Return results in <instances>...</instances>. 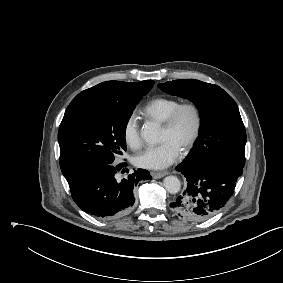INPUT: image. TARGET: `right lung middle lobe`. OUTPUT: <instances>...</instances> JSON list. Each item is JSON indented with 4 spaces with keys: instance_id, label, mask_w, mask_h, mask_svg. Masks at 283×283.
Masks as SVG:
<instances>
[{
    "instance_id": "obj_1",
    "label": "right lung middle lobe",
    "mask_w": 283,
    "mask_h": 283,
    "mask_svg": "<svg viewBox=\"0 0 283 283\" xmlns=\"http://www.w3.org/2000/svg\"><path fill=\"white\" fill-rule=\"evenodd\" d=\"M150 89L122 100L71 102L58 132L63 175L89 165L113 164L115 156L126 151L132 112Z\"/></svg>"
}]
</instances>
